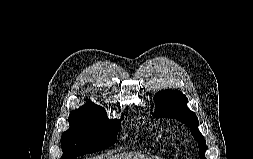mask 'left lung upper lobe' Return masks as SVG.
Segmentation results:
<instances>
[{
	"label": "left lung upper lobe",
	"instance_id": "1",
	"mask_svg": "<svg viewBox=\"0 0 253 159\" xmlns=\"http://www.w3.org/2000/svg\"><path fill=\"white\" fill-rule=\"evenodd\" d=\"M156 109L152 115L156 118L176 119L190 127L191 134L198 142L199 157L205 158L206 141L198 130L196 114L187 107V98L177 90H161L154 96Z\"/></svg>",
	"mask_w": 253,
	"mask_h": 159
}]
</instances>
